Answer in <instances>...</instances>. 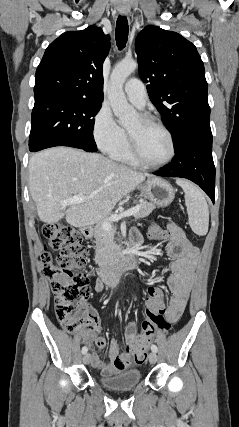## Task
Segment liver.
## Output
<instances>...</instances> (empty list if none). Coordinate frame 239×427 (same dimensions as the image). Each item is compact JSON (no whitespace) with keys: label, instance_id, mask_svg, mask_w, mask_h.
<instances>
[{"label":"liver","instance_id":"obj_1","mask_svg":"<svg viewBox=\"0 0 239 427\" xmlns=\"http://www.w3.org/2000/svg\"><path fill=\"white\" fill-rule=\"evenodd\" d=\"M29 190L40 220L56 223L64 216L78 228L106 219L125 195L146 176L98 153L55 147L31 156ZM73 195L86 200L62 204Z\"/></svg>","mask_w":239,"mask_h":427}]
</instances>
